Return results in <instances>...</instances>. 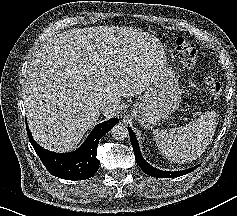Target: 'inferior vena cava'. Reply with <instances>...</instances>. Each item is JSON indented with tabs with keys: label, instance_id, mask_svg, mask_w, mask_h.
<instances>
[{
	"label": "inferior vena cava",
	"instance_id": "inferior-vena-cava-1",
	"mask_svg": "<svg viewBox=\"0 0 237 216\" xmlns=\"http://www.w3.org/2000/svg\"><path fill=\"white\" fill-rule=\"evenodd\" d=\"M118 103H112L109 100H100L98 102V107L100 108V110H112V111H116L118 109Z\"/></svg>",
	"mask_w": 237,
	"mask_h": 216
}]
</instances>
